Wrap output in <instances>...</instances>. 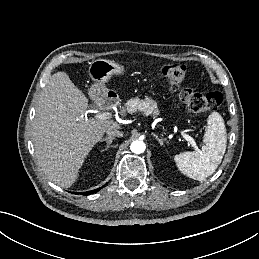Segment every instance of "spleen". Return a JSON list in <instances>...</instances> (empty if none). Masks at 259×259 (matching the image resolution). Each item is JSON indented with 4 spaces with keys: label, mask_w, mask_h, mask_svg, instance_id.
Returning a JSON list of instances; mask_svg holds the SVG:
<instances>
[{
    "label": "spleen",
    "mask_w": 259,
    "mask_h": 259,
    "mask_svg": "<svg viewBox=\"0 0 259 259\" xmlns=\"http://www.w3.org/2000/svg\"><path fill=\"white\" fill-rule=\"evenodd\" d=\"M204 143L198 152H183L174 156L178 169L198 181L205 180L215 172L226 151V128L218 112L208 116Z\"/></svg>",
    "instance_id": "3e777b00"
}]
</instances>
